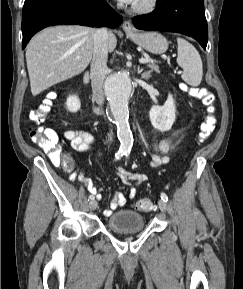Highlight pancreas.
Returning a JSON list of instances; mask_svg holds the SVG:
<instances>
[{"label": "pancreas", "mask_w": 243, "mask_h": 289, "mask_svg": "<svg viewBox=\"0 0 243 289\" xmlns=\"http://www.w3.org/2000/svg\"><path fill=\"white\" fill-rule=\"evenodd\" d=\"M148 66L152 69V71H156L157 73H159V67L156 64L150 63L148 64Z\"/></svg>", "instance_id": "obj_1"}]
</instances>
